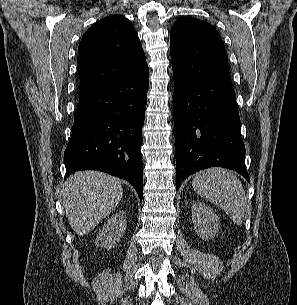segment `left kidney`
Masks as SVG:
<instances>
[{
	"label": "left kidney",
	"instance_id": "5707ae66",
	"mask_svg": "<svg viewBox=\"0 0 297 305\" xmlns=\"http://www.w3.org/2000/svg\"><path fill=\"white\" fill-rule=\"evenodd\" d=\"M192 221L196 233L201 238H213L220 229V220L214 210L203 202L191 206Z\"/></svg>",
	"mask_w": 297,
	"mask_h": 305
}]
</instances>
